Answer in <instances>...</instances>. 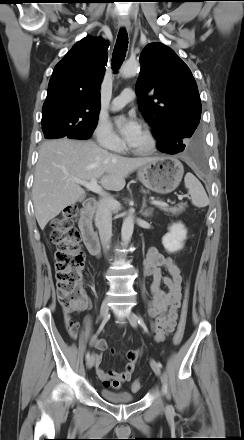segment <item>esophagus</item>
Wrapping results in <instances>:
<instances>
[{"instance_id":"34e87169","label":"esophagus","mask_w":244,"mask_h":440,"mask_svg":"<svg viewBox=\"0 0 244 440\" xmlns=\"http://www.w3.org/2000/svg\"><path fill=\"white\" fill-rule=\"evenodd\" d=\"M119 26L125 28L127 31L131 30L130 20L126 18L119 19Z\"/></svg>"}]
</instances>
